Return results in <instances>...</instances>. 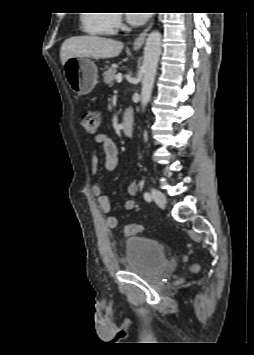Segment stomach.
Here are the masks:
<instances>
[{
  "mask_svg": "<svg viewBox=\"0 0 254 355\" xmlns=\"http://www.w3.org/2000/svg\"><path fill=\"white\" fill-rule=\"evenodd\" d=\"M64 73L69 86L77 94L90 93L97 83L98 70L89 58L68 59L64 64Z\"/></svg>",
  "mask_w": 254,
  "mask_h": 355,
  "instance_id": "0dacf381",
  "label": "stomach"
}]
</instances>
